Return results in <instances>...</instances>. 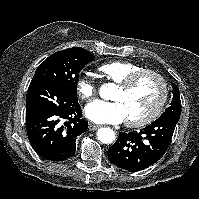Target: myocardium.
Returning a JSON list of instances; mask_svg holds the SVG:
<instances>
[{
	"label": "myocardium",
	"mask_w": 199,
	"mask_h": 199,
	"mask_svg": "<svg viewBox=\"0 0 199 199\" xmlns=\"http://www.w3.org/2000/svg\"><path fill=\"white\" fill-rule=\"evenodd\" d=\"M148 75L155 77L159 81L160 86H161L160 97L158 101L156 102L154 108L146 116L142 118H138V119H127L126 124L129 127H134V128L142 127L154 122L162 113L165 107V104L168 100L169 87H168L166 78L161 73L152 69H142L140 71H137L131 74L122 82L118 83V88H120L123 91H128L135 84H137L143 77L148 76Z\"/></svg>",
	"instance_id": "f54148a6"
}]
</instances>
